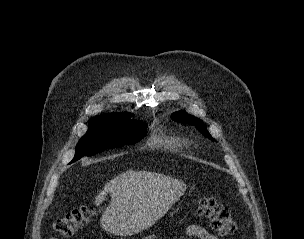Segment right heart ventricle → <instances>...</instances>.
<instances>
[{
  "label": "right heart ventricle",
  "mask_w": 304,
  "mask_h": 239,
  "mask_svg": "<svg viewBox=\"0 0 304 239\" xmlns=\"http://www.w3.org/2000/svg\"><path fill=\"white\" fill-rule=\"evenodd\" d=\"M150 143L152 145H162L172 150H178L183 147V142L179 138L169 137L163 134L153 136Z\"/></svg>",
  "instance_id": "e07e8e85"
}]
</instances>
